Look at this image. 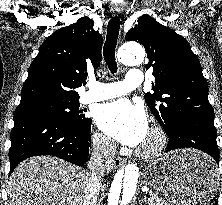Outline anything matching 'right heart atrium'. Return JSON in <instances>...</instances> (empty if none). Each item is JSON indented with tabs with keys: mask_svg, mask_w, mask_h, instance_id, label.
Here are the masks:
<instances>
[{
	"mask_svg": "<svg viewBox=\"0 0 222 205\" xmlns=\"http://www.w3.org/2000/svg\"><path fill=\"white\" fill-rule=\"evenodd\" d=\"M94 147L101 153L109 155L112 153L113 144L110 139L101 132H95L93 135Z\"/></svg>",
	"mask_w": 222,
	"mask_h": 205,
	"instance_id": "obj_1",
	"label": "right heart atrium"
}]
</instances>
